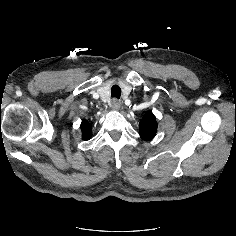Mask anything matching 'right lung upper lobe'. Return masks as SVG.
<instances>
[{
    "instance_id": "1",
    "label": "right lung upper lobe",
    "mask_w": 236,
    "mask_h": 236,
    "mask_svg": "<svg viewBox=\"0 0 236 236\" xmlns=\"http://www.w3.org/2000/svg\"><path fill=\"white\" fill-rule=\"evenodd\" d=\"M81 130H82V138L84 140H89L92 136L91 125L86 120H83L81 123Z\"/></svg>"
}]
</instances>
